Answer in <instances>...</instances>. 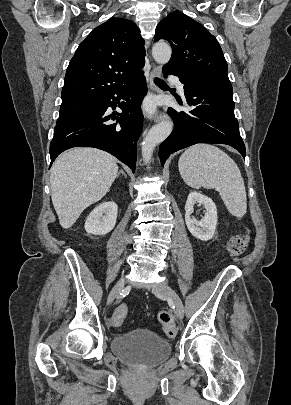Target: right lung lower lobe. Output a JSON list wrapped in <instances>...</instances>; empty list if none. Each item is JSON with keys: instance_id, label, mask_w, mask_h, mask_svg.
Instances as JSON below:
<instances>
[{"instance_id": "right-lung-lower-lobe-1", "label": "right lung lower lobe", "mask_w": 291, "mask_h": 405, "mask_svg": "<svg viewBox=\"0 0 291 405\" xmlns=\"http://www.w3.org/2000/svg\"><path fill=\"white\" fill-rule=\"evenodd\" d=\"M146 93V79L141 72L95 99L94 107L56 124L50 144L51 164L69 148L94 147L114 155L135 172L136 142L143 128L140 105ZM116 104L122 113L107 115V108L114 109ZM115 119L117 123H110Z\"/></svg>"}]
</instances>
